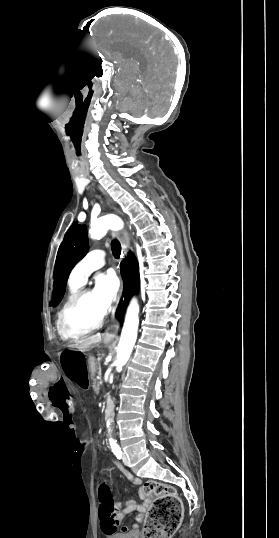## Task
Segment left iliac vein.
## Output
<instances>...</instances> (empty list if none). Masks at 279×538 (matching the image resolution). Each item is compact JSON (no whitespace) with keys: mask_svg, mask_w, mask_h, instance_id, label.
Wrapping results in <instances>:
<instances>
[{"mask_svg":"<svg viewBox=\"0 0 279 538\" xmlns=\"http://www.w3.org/2000/svg\"><path fill=\"white\" fill-rule=\"evenodd\" d=\"M122 460H123V463H124L125 465H128V464H129V461H128V458H127L126 454H123V458H122Z\"/></svg>","mask_w":279,"mask_h":538,"instance_id":"obj_1","label":"left iliac vein"}]
</instances>
